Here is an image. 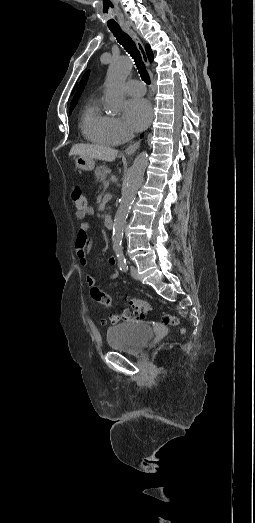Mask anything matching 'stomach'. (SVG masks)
Returning a JSON list of instances; mask_svg holds the SVG:
<instances>
[{"label":"stomach","instance_id":"obj_1","mask_svg":"<svg viewBox=\"0 0 255 523\" xmlns=\"http://www.w3.org/2000/svg\"><path fill=\"white\" fill-rule=\"evenodd\" d=\"M75 164L79 170H85V172H90V170H94L95 168L94 160H92V158H83V156L76 158Z\"/></svg>","mask_w":255,"mask_h":523}]
</instances>
